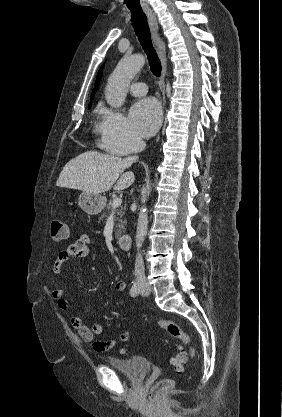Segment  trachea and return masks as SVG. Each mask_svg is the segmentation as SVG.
Here are the masks:
<instances>
[{"label":"trachea","mask_w":282,"mask_h":417,"mask_svg":"<svg viewBox=\"0 0 282 417\" xmlns=\"http://www.w3.org/2000/svg\"><path fill=\"white\" fill-rule=\"evenodd\" d=\"M131 22L143 50L147 54L151 72L159 77L161 75L162 66L155 49L152 45L150 28L148 26L147 17L142 10H130Z\"/></svg>","instance_id":"trachea-1"}]
</instances>
